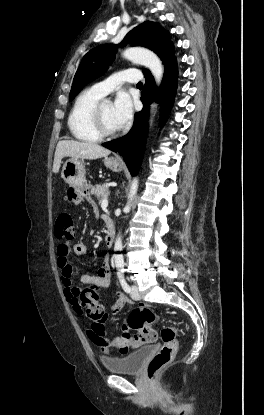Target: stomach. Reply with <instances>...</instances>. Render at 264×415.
<instances>
[{
  "instance_id": "1",
  "label": "stomach",
  "mask_w": 264,
  "mask_h": 415,
  "mask_svg": "<svg viewBox=\"0 0 264 415\" xmlns=\"http://www.w3.org/2000/svg\"><path fill=\"white\" fill-rule=\"evenodd\" d=\"M104 165L114 172H120L123 169V164L114 157L105 158ZM63 180L74 189L75 193L79 195L87 185L85 183V168L82 158L68 159L62 168ZM78 199H74V203H77Z\"/></svg>"
}]
</instances>
